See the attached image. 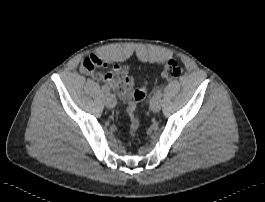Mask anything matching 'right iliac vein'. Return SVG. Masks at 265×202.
I'll list each match as a JSON object with an SVG mask.
<instances>
[{"instance_id":"obj_1","label":"right iliac vein","mask_w":265,"mask_h":202,"mask_svg":"<svg viewBox=\"0 0 265 202\" xmlns=\"http://www.w3.org/2000/svg\"><path fill=\"white\" fill-rule=\"evenodd\" d=\"M105 105L107 108L112 109L116 105V99L113 94H107L105 97Z\"/></svg>"}]
</instances>
